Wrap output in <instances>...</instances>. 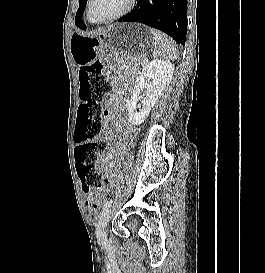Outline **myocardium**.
I'll return each instance as SVG.
<instances>
[{"label": "myocardium", "instance_id": "myocardium-1", "mask_svg": "<svg viewBox=\"0 0 265 273\" xmlns=\"http://www.w3.org/2000/svg\"><path fill=\"white\" fill-rule=\"evenodd\" d=\"M136 1L137 0H129L128 5L123 10L118 12L117 14H115V15H113L111 17H108L106 19L96 20V19H93L91 17V14H90V6H91V3H92V0H88L87 4H86V16H87V19L91 23H94V24H102V23L113 22L115 20H118V19L124 17L129 12H131L134 9L135 5H136Z\"/></svg>", "mask_w": 265, "mask_h": 273}]
</instances>
